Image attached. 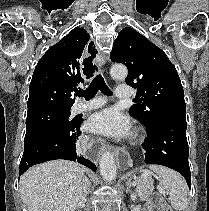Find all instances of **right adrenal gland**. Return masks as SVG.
<instances>
[{
  "mask_svg": "<svg viewBox=\"0 0 209 211\" xmlns=\"http://www.w3.org/2000/svg\"><path fill=\"white\" fill-rule=\"evenodd\" d=\"M87 182H88V189H90V187H91V182H90L89 179H87Z\"/></svg>",
  "mask_w": 209,
  "mask_h": 211,
  "instance_id": "1",
  "label": "right adrenal gland"
}]
</instances>
